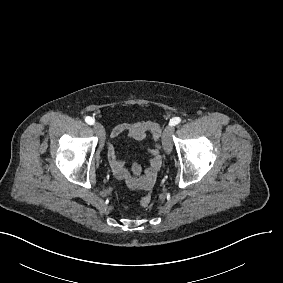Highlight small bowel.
Returning a JSON list of instances; mask_svg holds the SVG:
<instances>
[{
	"mask_svg": "<svg viewBox=\"0 0 283 283\" xmlns=\"http://www.w3.org/2000/svg\"><path fill=\"white\" fill-rule=\"evenodd\" d=\"M161 128L155 122L138 120L135 122H127L114 126L110 132L111 139H117L122 135H127L129 138L135 141H142L146 139L148 135L152 137L154 144L150 149V166L145 171L143 178H137L136 180H130V173L125 166V163L117 156L116 149L113 143H110L107 147V157L115 178L121 180L123 184H126L128 189H138L144 185V181H155L157 172L162 166V156L160 152V138ZM131 161L135 160L134 156L130 157ZM142 163H146L147 159L144 156L140 157ZM132 172L139 174L141 167L139 165H131Z\"/></svg>",
	"mask_w": 283,
	"mask_h": 283,
	"instance_id": "1",
	"label": "small bowel"
}]
</instances>
